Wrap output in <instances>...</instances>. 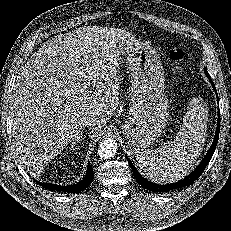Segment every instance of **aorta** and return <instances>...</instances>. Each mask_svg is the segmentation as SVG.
I'll return each instance as SVG.
<instances>
[{
  "mask_svg": "<svg viewBox=\"0 0 231 231\" xmlns=\"http://www.w3.org/2000/svg\"><path fill=\"white\" fill-rule=\"evenodd\" d=\"M117 143L113 139L103 140L98 147V155L101 159H110L117 153Z\"/></svg>",
  "mask_w": 231,
  "mask_h": 231,
  "instance_id": "obj_1",
  "label": "aorta"
}]
</instances>
